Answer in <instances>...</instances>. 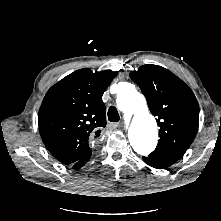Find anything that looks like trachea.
<instances>
[{"label": "trachea", "mask_w": 221, "mask_h": 221, "mask_svg": "<svg viewBox=\"0 0 221 221\" xmlns=\"http://www.w3.org/2000/svg\"><path fill=\"white\" fill-rule=\"evenodd\" d=\"M108 119L111 122H118L120 120V116H119V113H118V110L116 109V107L111 106L108 109Z\"/></svg>", "instance_id": "obj_1"}]
</instances>
